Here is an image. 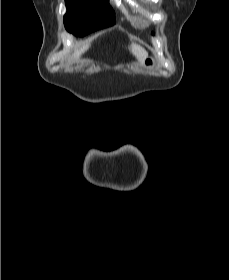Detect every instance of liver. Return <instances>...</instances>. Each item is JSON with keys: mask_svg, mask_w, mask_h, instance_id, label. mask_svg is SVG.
<instances>
[{"mask_svg": "<svg viewBox=\"0 0 229 280\" xmlns=\"http://www.w3.org/2000/svg\"><path fill=\"white\" fill-rule=\"evenodd\" d=\"M90 43H87L80 49H77L74 51V54L72 55V60H77L82 53L87 51L89 49ZM130 52L138 59V61L143 64L144 60L147 58L148 53L147 51L142 48L140 45H137L135 43H132L129 47Z\"/></svg>", "mask_w": 229, "mask_h": 280, "instance_id": "liver-1", "label": "liver"}]
</instances>
